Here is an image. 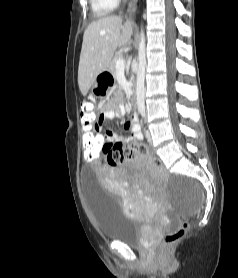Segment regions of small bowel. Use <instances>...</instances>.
<instances>
[{
    "label": "small bowel",
    "instance_id": "obj_1",
    "mask_svg": "<svg viewBox=\"0 0 238 278\" xmlns=\"http://www.w3.org/2000/svg\"><path fill=\"white\" fill-rule=\"evenodd\" d=\"M125 111H126L125 106L122 104H119L115 108H111L109 106L105 107L103 114H102V120L97 125L93 126L94 131H95V136H90V137H103L104 141H105V146H107L108 144H111V143L122 144L124 142L141 140L142 132H141V128H140V125L138 123V119L136 116L131 117L124 124V129L130 132L129 137H125L120 134H114L109 131L107 132V135H103L101 133V131L103 129V122L105 120H114V119L120 118L121 116H123L125 114ZM84 137H87V136H83V138ZM105 146H103V154L106 155L105 150H104ZM135 159L145 166H150L144 160L137 159V158H135Z\"/></svg>",
    "mask_w": 238,
    "mask_h": 278
}]
</instances>
